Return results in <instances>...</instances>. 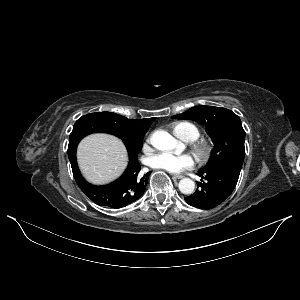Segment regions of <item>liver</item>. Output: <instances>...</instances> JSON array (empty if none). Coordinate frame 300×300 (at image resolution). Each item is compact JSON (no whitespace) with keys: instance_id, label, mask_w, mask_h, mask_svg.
<instances>
[{"instance_id":"obj_1","label":"liver","mask_w":300,"mask_h":300,"mask_svg":"<svg viewBox=\"0 0 300 300\" xmlns=\"http://www.w3.org/2000/svg\"><path fill=\"white\" fill-rule=\"evenodd\" d=\"M77 160L83 176L102 185L118 178L125 170L128 154L122 141L108 134H92L79 144Z\"/></svg>"}]
</instances>
